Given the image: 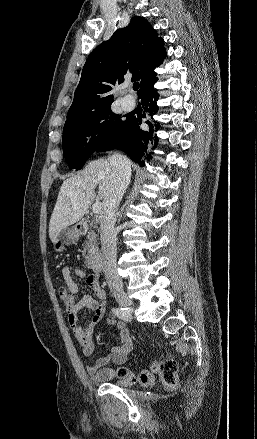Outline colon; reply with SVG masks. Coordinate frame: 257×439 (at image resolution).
I'll return each mask as SVG.
<instances>
[{
  "instance_id": "5ec220e1",
  "label": "colon",
  "mask_w": 257,
  "mask_h": 439,
  "mask_svg": "<svg viewBox=\"0 0 257 439\" xmlns=\"http://www.w3.org/2000/svg\"><path fill=\"white\" fill-rule=\"evenodd\" d=\"M59 296L63 304L69 310L72 309L76 304V293L72 292L68 288L61 287L59 289ZM152 369L159 371L162 381L167 388H174L177 385V365L175 362L166 361L159 365L153 364ZM116 377L118 378L119 383L123 386H129L135 383L148 385L152 382V375L149 372L143 371L138 374H134L123 367L118 368Z\"/></svg>"
}]
</instances>
